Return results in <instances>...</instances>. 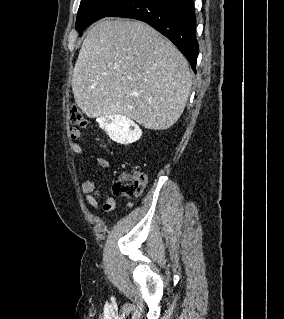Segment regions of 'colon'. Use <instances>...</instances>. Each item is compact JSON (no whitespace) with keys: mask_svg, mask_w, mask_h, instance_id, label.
Instances as JSON below:
<instances>
[{"mask_svg":"<svg viewBox=\"0 0 284 319\" xmlns=\"http://www.w3.org/2000/svg\"><path fill=\"white\" fill-rule=\"evenodd\" d=\"M69 120L72 125L85 127L87 120L83 113L75 106L70 108ZM146 185V177L142 172L120 174L113 183L115 195L128 199H136L141 196Z\"/></svg>","mask_w":284,"mask_h":319,"instance_id":"colon-1","label":"colon"}]
</instances>
